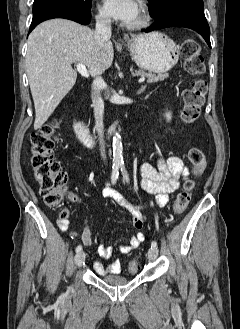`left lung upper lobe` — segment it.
I'll return each mask as SVG.
<instances>
[{"label": "left lung upper lobe", "mask_w": 240, "mask_h": 329, "mask_svg": "<svg viewBox=\"0 0 240 329\" xmlns=\"http://www.w3.org/2000/svg\"><path fill=\"white\" fill-rule=\"evenodd\" d=\"M148 2L150 3V16L155 19L169 8L177 5H195L204 7L202 0H148Z\"/></svg>", "instance_id": "1"}]
</instances>
